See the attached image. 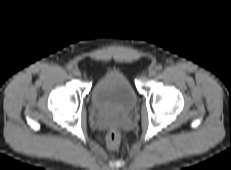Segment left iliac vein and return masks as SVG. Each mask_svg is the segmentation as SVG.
<instances>
[{
	"instance_id": "1",
	"label": "left iliac vein",
	"mask_w": 231,
	"mask_h": 170,
	"mask_svg": "<svg viewBox=\"0 0 231 170\" xmlns=\"http://www.w3.org/2000/svg\"><path fill=\"white\" fill-rule=\"evenodd\" d=\"M156 74V70L154 68H150L148 71L149 77H153Z\"/></svg>"
}]
</instances>
